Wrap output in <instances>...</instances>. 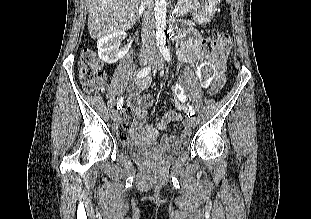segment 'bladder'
<instances>
[{"mask_svg":"<svg viewBox=\"0 0 311 219\" xmlns=\"http://www.w3.org/2000/svg\"><path fill=\"white\" fill-rule=\"evenodd\" d=\"M126 147L130 150H135V151H139V152L144 151V148H142L141 146H136L135 142L127 143ZM183 148H184V143H178V144L174 145L173 147L166 149V151L170 152V153H176V152L182 150Z\"/></svg>","mask_w":311,"mask_h":219,"instance_id":"1","label":"bladder"}]
</instances>
